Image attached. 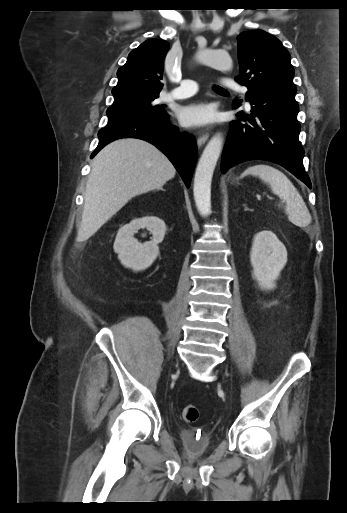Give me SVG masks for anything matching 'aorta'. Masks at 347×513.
<instances>
[{"label":"aorta","mask_w":347,"mask_h":513,"mask_svg":"<svg viewBox=\"0 0 347 513\" xmlns=\"http://www.w3.org/2000/svg\"><path fill=\"white\" fill-rule=\"evenodd\" d=\"M196 59L214 69L230 71L233 66L232 58L226 51L200 49ZM223 147V137L215 134L207 143L199 159L193 186L194 200L197 210L202 216L211 213V182L213 172Z\"/></svg>","instance_id":"aorta-1"}]
</instances>
